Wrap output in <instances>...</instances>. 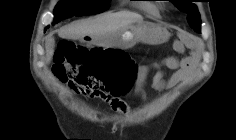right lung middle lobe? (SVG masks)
Returning a JSON list of instances; mask_svg holds the SVG:
<instances>
[{
	"mask_svg": "<svg viewBox=\"0 0 236 140\" xmlns=\"http://www.w3.org/2000/svg\"><path fill=\"white\" fill-rule=\"evenodd\" d=\"M107 7L108 0H63L54 10V24L72 16L100 13Z\"/></svg>",
	"mask_w": 236,
	"mask_h": 140,
	"instance_id": "1",
	"label": "right lung middle lobe"
}]
</instances>
